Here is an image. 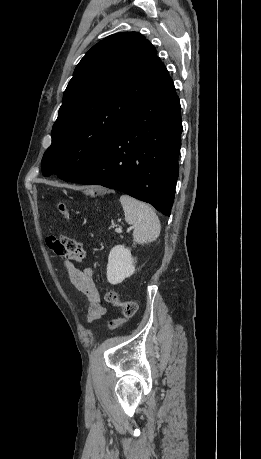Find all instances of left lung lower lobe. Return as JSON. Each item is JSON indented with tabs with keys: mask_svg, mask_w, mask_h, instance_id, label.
Wrapping results in <instances>:
<instances>
[{
	"mask_svg": "<svg viewBox=\"0 0 261 459\" xmlns=\"http://www.w3.org/2000/svg\"><path fill=\"white\" fill-rule=\"evenodd\" d=\"M181 132L180 102L168 76L97 159L66 182L116 189L170 216L179 171Z\"/></svg>",
	"mask_w": 261,
	"mask_h": 459,
	"instance_id": "left-lung-lower-lobe-1",
	"label": "left lung lower lobe"
}]
</instances>
